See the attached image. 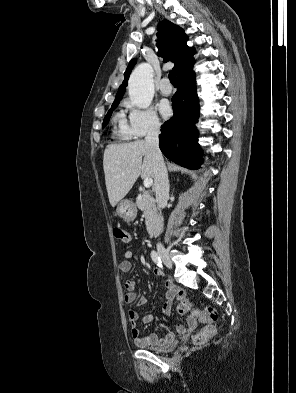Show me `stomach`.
<instances>
[{"label":"stomach","mask_w":296,"mask_h":393,"mask_svg":"<svg viewBox=\"0 0 296 393\" xmlns=\"http://www.w3.org/2000/svg\"><path fill=\"white\" fill-rule=\"evenodd\" d=\"M116 211L118 216L127 222L133 221L137 214L136 207L130 200H122Z\"/></svg>","instance_id":"1"}]
</instances>
